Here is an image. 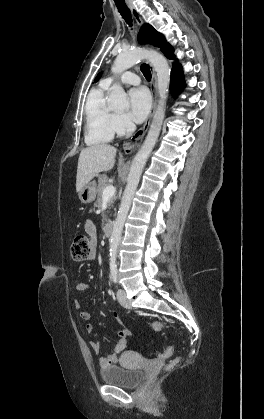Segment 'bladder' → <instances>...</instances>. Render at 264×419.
Masks as SVG:
<instances>
[{
	"label": "bladder",
	"instance_id": "1",
	"mask_svg": "<svg viewBox=\"0 0 264 419\" xmlns=\"http://www.w3.org/2000/svg\"><path fill=\"white\" fill-rule=\"evenodd\" d=\"M100 374L103 382L122 388H135L145 378L143 370L125 366L105 367Z\"/></svg>",
	"mask_w": 264,
	"mask_h": 419
}]
</instances>
